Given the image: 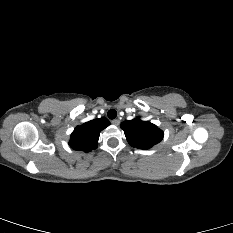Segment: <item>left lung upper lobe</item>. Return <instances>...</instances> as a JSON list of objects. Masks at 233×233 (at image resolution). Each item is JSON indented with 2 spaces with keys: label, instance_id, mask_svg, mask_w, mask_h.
Listing matches in <instances>:
<instances>
[{
  "label": "left lung upper lobe",
  "instance_id": "obj_1",
  "mask_svg": "<svg viewBox=\"0 0 233 233\" xmlns=\"http://www.w3.org/2000/svg\"><path fill=\"white\" fill-rule=\"evenodd\" d=\"M128 143L139 149H149L158 144L164 136L156 125L134 118L121 123Z\"/></svg>",
  "mask_w": 233,
  "mask_h": 233
}]
</instances>
